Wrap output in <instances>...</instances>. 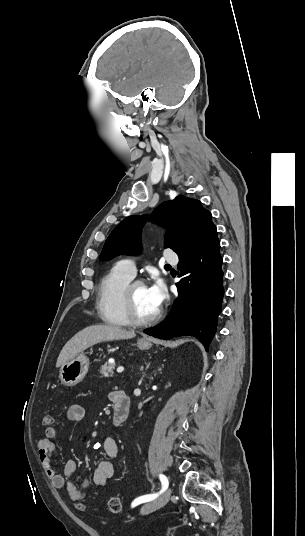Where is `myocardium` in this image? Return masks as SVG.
<instances>
[{
	"label": "myocardium",
	"mask_w": 305,
	"mask_h": 536,
	"mask_svg": "<svg viewBox=\"0 0 305 536\" xmlns=\"http://www.w3.org/2000/svg\"><path fill=\"white\" fill-rule=\"evenodd\" d=\"M135 285H144V283L141 281L130 282L125 286L122 294L123 307L129 321L133 324H147L157 320L162 313L160 309L148 316H143L135 310L131 300V290Z\"/></svg>",
	"instance_id": "myocardium-1"
}]
</instances>
